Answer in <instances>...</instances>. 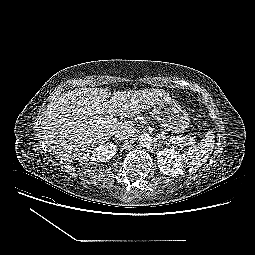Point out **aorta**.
<instances>
[{"label": "aorta", "instance_id": "1", "mask_svg": "<svg viewBox=\"0 0 255 255\" xmlns=\"http://www.w3.org/2000/svg\"><path fill=\"white\" fill-rule=\"evenodd\" d=\"M139 144L142 147L149 148L153 144V138L150 135H148V134H142L139 137Z\"/></svg>", "mask_w": 255, "mask_h": 255}]
</instances>
